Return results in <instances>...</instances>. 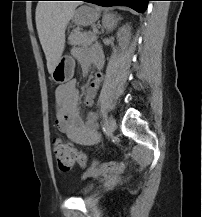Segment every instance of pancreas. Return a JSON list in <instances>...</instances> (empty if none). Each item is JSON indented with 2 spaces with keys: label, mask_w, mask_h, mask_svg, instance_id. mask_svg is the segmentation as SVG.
I'll return each instance as SVG.
<instances>
[{
  "label": "pancreas",
  "mask_w": 202,
  "mask_h": 217,
  "mask_svg": "<svg viewBox=\"0 0 202 217\" xmlns=\"http://www.w3.org/2000/svg\"><path fill=\"white\" fill-rule=\"evenodd\" d=\"M95 32L82 33L79 28L73 30L68 40L71 45L87 47L97 40Z\"/></svg>",
  "instance_id": "cf45deb5"
}]
</instances>
